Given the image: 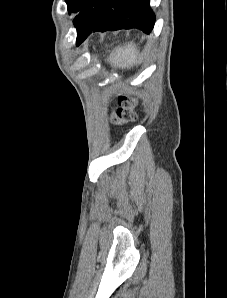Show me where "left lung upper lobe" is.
<instances>
[{"label":"left lung upper lobe","instance_id":"1","mask_svg":"<svg viewBox=\"0 0 227 298\" xmlns=\"http://www.w3.org/2000/svg\"><path fill=\"white\" fill-rule=\"evenodd\" d=\"M69 13H74L77 42L88 36L100 18L107 0H65Z\"/></svg>","mask_w":227,"mask_h":298}]
</instances>
